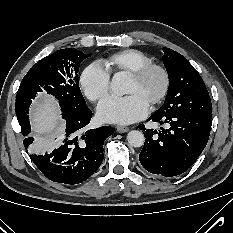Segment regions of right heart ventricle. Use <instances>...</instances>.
<instances>
[{
    "instance_id": "right-heart-ventricle-1",
    "label": "right heart ventricle",
    "mask_w": 233,
    "mask_h": 233,
    "mask_svg": "<svg viewBox=\"0 0 233 233\" xmlns=\"http://www.w3.org/2000/svg\"><path fill=\"white\" fill-rule=\"evenodd\" d=\"M152 62L148 55L136 49L121 50L103 60L106 69L116 74H130Z\"/></svg>"
}]
</instances>
